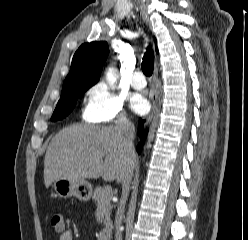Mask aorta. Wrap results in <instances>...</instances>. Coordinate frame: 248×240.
<instances>
[{
    "label": "aorta",
    "instance_id": "obj_1",
    "mask_svg": "<svg viewBox=\"0 0 248 240\" xmlns=\"http://www.w3.org/2000/svg\"><path fill=\"white\" fill-rule=\"evenodd\" d=\"M106 80L110 87L114 88L116 82V74L113 68H108L106 72Z\"/></svg>",
    "mask_w": 248,
    "mask_h": 240
}]
</instances>
